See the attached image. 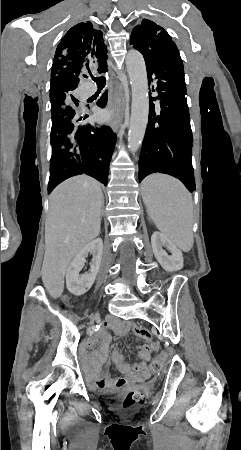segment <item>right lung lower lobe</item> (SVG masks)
Instances as JSON below:
<instances>
[{
	"mask_svg": "<svg viewBox=\"0 0 241 450\" xmlns=\"http://www.w3.org/2000/svg\"><path fill=\"white\" fill-rule=\"evenodd\" d=\"M106 68L103 72H107ZM107 93L98 100L97 105L104 107ZM88 116L85 115L84 119ZM77 120L64 118L56 128L74 138V144L68 147H52L48 193L65 179L85 173L107 185L109 164L116 143V136L109 127L88 125L76 126Z\"/></svg>",
	"mask_w": 241,
	"mask_h": 450,
	"instance_id": "98d812e1",
	"label": "right lung lower lobe"
}]
</instances>
